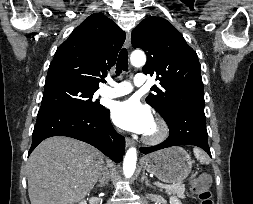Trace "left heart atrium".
<instances>
[{
    "label": "left heart atrium",
    "instance_id": "1",
    "mask_svg": "<svg viewBox=\"0 0 253 204\" xmlns=\"http://www.w3.org/2000/svg\"><path fill=\"white\" fill-rule=\"evenodd\" d=\"M111 117L120 128L141 134H145L153 123L151 110L135 98L116 102Z\"/></svg>",
    "mask_w": 253,
    "mask_h": 204
}]
</instances>
